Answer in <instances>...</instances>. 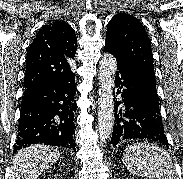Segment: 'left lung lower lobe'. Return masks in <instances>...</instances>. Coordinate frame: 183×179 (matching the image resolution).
<instances>
[{
    "mask_svg": "<svg viewBox=\"0 0 183 179\" xmlns=\"http://www.w3.org/2000/svg\"><path fill=\"white\" fill-rule=\"evenodd\" d=\"M104 51L113 54L108 48ZM115 85L117 94L123 98L122 102L116 101L115 111L123 103L124 113L120 109L119 114H115L111 144L115 146L126 139H147L168 147L159 104L152 98L139 73L118 60Z\"/></svg>",
    "mask_w": 183,
    "mask_h": 179,
    "instance_id": "obj_1",
    "label": "left lung lower lobe"
}]
</instances>
